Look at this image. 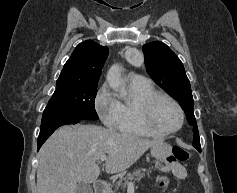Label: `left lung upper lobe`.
Wrapping results in <instances>:
<instances>
[{"mask_svg": "<svg viewBox=\"0 0 237 193\" xmlns=\"http://www.w3.org/2000/svg\"><path fill=\"white\" fill-rule=\"evenodd\" d=\"M143 52L148 74L181 105L189 124L193 126V146L200 148L191 86L182 62L166 44L159 41L145 44Z\"/></svg>", "mask_w": 237, "mask_h": 193, "instance_id": "obj_1", "label": "left lung upper lobe"}]
</instances>
